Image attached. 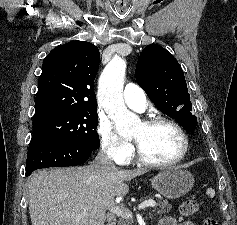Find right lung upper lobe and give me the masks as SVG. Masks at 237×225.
<instances>
[{"label": "right lung upper lobe", "instance_id": "cb5924a9", "mask_svg": "<svg viewBox=\"0 0 237 225\" xmlns=\"http://www.w3.org/2000/svg\"><path fill=\"white\" fill-rule=\"evenodd\" d=\"M99 62V50L89 42L72 41L53 49L43 60L34 121L97 110L94 79Z\"/></svg>", "mask_w": 237, "mask_h": 225}]
</instances>
